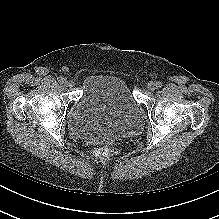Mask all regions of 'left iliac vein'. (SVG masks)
Listing matches in <instances>:
<instances>
[{"label":"left iliac vein","instance_id":"obj_1","mask_svg":"<svg viewBox=\"0 0 219 219\" xmlns=\"http://www.w3.org/2000/svg\"><path fill=\"white\" fill-rule=\"evenodd\" d=\"M147 89H148L149 91H154V90L156 89V83L153 82V81H149V82L147 83Z\"/></svg>","mask_w":219,"mask_h":219}]
</instances>
